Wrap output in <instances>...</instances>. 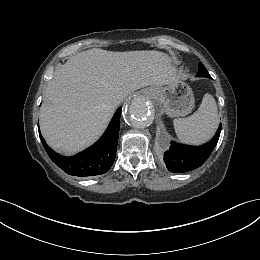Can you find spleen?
I'll return each mask as SVG.
<instances>
[{"label":"spleen","instance_id":"obj_1","mask_svg":"<svg viewBox=\"0 0 260 260\" xmlns=\"http://www.w3.org/2000/svg\"><path fill=\"white\" fill-rule=\"evenodd\" d=\"M173 124L178 138L184 143L199 145L208 141L219 124L215 99L211 94H205L194 114L187 118L174 119Z\"/></svg>","mask_w":260,"mask_h":260}]
</instances>
